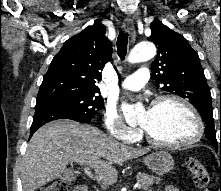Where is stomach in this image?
I'll return each mask as SVG.
<instances>
[{
    "mask_svg": "<svg viewBox=\"0 0 221 191\" xmlns=\"http://www.w3.org/2000/svg\"><path fill=\"white\" fill-rule=\"evenodd\" d=\"M144 164L154 173L164 175L174 167L172 156L166 151H156L143 158Z\"/></svg>",
    "mask_w": 221,
    "mask_h": 191,
    "instance_id": "0dacf381",
    "label": "stomach"
}]
</instances>
